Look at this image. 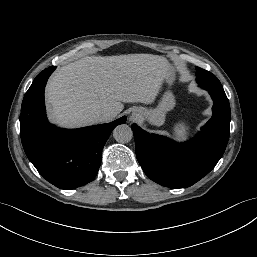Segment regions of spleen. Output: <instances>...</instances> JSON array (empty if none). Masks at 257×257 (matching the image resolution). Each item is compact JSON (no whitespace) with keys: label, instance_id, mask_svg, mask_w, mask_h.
I'll return each instance as SVG.
<instances>
[{"label":"spleen","instance_id":"3e777b00","mask_svg":"<svg viewBox=\"0 0 257 257\" xmlns=\"http://www.w3.org/2000/svg\"><path fill=\"white\" fill-rule=\"evenodd\" d=\"M173 134L176 140L185 141L190 134V127L185 122H179L174 126Z\"/></svg>","mask_w":257,"mask_h":257}]
</instances>
